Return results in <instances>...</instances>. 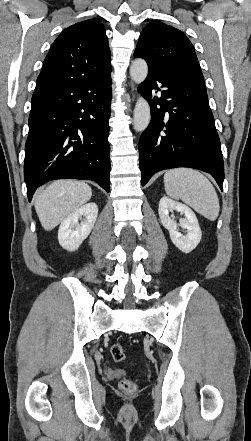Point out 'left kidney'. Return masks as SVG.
Listing matches in <instances>:
<instances>
[{"mask_svg":"<svg viewBox=\"0 0 251 441\" xmlns=\"http://www.w3.org/2000/svg\"><path fill=\"white\" fill-rule=\"evenodd\" d=\"M177 211L185 215L179 223L169 212ZM158 213L161 224L170 234L173 244L182 252L189 253L194 250L201 240V229L195 213L185 204L162 197L159 202ZM178 226L185 230L186 234L179 232Z\"/></svg>","mask_w":251,"mask_h":441,"instance_id":"1","label":"left kidney"}]
</instances>
